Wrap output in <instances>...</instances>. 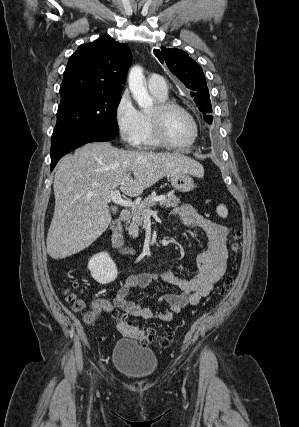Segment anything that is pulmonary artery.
I'll list each match as a JSON object with an SVG mask.
<instances>
[{"mask_svg": "<svg viewBox=\"0 0 299 427\" xmlns=\"http://www.w3.org/2000/svg\"><path fill=\"white\" fill-rule=\"evenodd\" d=\"M148 88L151 92L166 95L168 93V85L163 76L152 74L147 81Z\"/></svg>", "mask_w": 299, "mask_h": 427, "instance_id": "e3ab8cb5", "label": "pulmonary artery"}]
</instances>
